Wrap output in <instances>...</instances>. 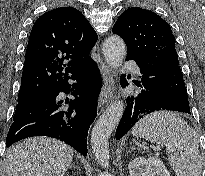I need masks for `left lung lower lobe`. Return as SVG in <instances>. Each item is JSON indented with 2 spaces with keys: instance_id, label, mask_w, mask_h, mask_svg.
Segmentation results:
<instances>
[{
  "instance_id": "left-lung-lower-lobe-1",
  "label": "left lung lower lobe",
  "mask_w": 205,
  "mask_h": 176,
  "mask_svg": "<svg viewBox=\"0 0 205 176\" xmlns=\"http://www.w3.org/2000/svg\"><path fill=\"white\" fill-rule=\"evenodd\" d=\"M141 69L142 78L136 85L143 88L140 93L127 100V107L116 130L119 140L134 124L146 115L159 110L190 113L187 91L179 65L161 66L144 64L132 56ZM127 82L122 80V86Z\"/></svg>"
}]
</instances>
